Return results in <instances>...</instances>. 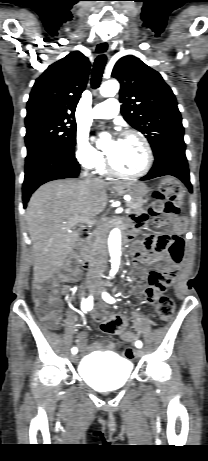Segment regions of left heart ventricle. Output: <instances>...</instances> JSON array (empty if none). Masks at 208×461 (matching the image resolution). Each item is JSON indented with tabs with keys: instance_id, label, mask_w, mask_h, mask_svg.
<instances>
[{
	"instance_id": "1",
	"label": "left heart ventricle",
	"mask_w": 208,
	"mask_h": 461,
	"mask_svg": "<svg viewBox=\"0 0 208 461\" xmlns=\"http://www.w3.org/2000/svg\"><path fill=\"white\" fill-rule=\"evenodd\" d=\"M105 150L114 167L121 172L133 174L145 165L146 154L142 143L136 137L110 140Z\"/></svg>"
}]
</instances>
